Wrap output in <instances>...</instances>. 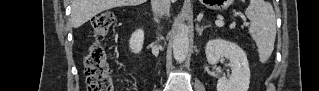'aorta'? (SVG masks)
<instances>
[{"mask_svg": "<svg viewBox=\"0 0 319 91\" xmlns=\"http://www.w3.org/2000/svg\"><path fill=\"white\" fill-rule=\"evenodd\" d=\"M189 51V30L186 24L178 26L177 33L173 40V55L178 63L183 62Z\"/></svg>", "mask_w": 319, "mask_h": 91, "instance_id": "obj_1", "label": "aorta"}]
</instances>
